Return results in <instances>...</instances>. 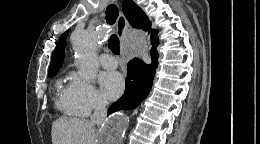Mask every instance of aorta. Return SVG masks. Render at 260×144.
Instances as JSON below:
<instances>
[{"mask_svg":"<svg viewBox=\"0 0 260 144\" xmlns=\"http://www.w3.org/2000/svg\"><path fill=\"white\" fill-rule=\"evenodd\" d=\"M104 40V32L97 29L76 31L72 36L73 48L77 54L79 75L86 81H92L98 71L97 48ZM127 121L124 116L117 115L107 127V144H115L122 138Z\"/></svg>","mask_w":260,"mask_h":144,"instance_id":"762f6f07","label":"aorta"}]
</instances>
